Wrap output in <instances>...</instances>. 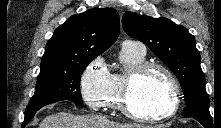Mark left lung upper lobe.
<instances>
[{"mask_svg":"<svg viewBox=\"0 0 221 128\" xmlns=\"http://www.w3.org/2000/svg\"><path fill=\"white\" fill-rule=\"evenodd\" d=\"M122 26L129 36L145 43L176 75L186 102L183 116L212 118L200 53L188 30L167 18L129 11L122 17Z\"/></svg>","mask_w":221,"mask_h":128,"instance_id":"obj_1","label":"left lung upper lobe"}]
</instances>
